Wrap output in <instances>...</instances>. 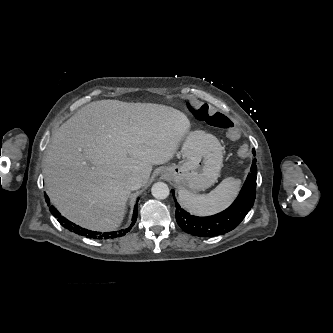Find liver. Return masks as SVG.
<instances>
[{
    "label": "liver",
    "instance_id": "obj_1",
    "mask_svg": "<svg viewBox=\"0 0 333 333\" xmlns=\"http://www.w3.org/2000/svg\"><path fill=\"white\" fill-rule=\"evenodd\" d=\"M190 122L177 109L118 100L91 102L52 136L45 156L46 192L63 216L96 231L123 221L126 180L148 182L152 166L170 161Z\"/></svg>",
    "mask_w": 333,
    "mask_h": 333
}]
</instances>
